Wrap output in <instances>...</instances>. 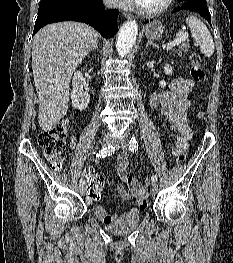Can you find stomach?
Wrapping results in <instances>:
<instances>
[{"label":"stomach","mask_w":233,"mask_h":263,"mask_svg":"<svg viewBox=\"0 0 233 263\" xmlns=\"http://www.w3.org/2000/svg\"><path fill=\"white\" fill-rule=\"evenodd\" d=\"M144 31L145 36L149 40H156L162 36V34L164 33V28L160 21H153L145 27Z\"/></svg>","instance_id":"0dacf381"}]
</instances>
